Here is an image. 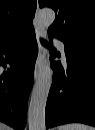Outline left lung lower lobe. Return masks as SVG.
<instances>
[{"label": "left lung lower lobe", "instance_id": "left-lung-lower-lobe-1", "mask_svg": "<svg viewBox=\"0 0 95 130\" xmlns=\"http://www.w3.org/2000/svg\"><path fill=\"white\" fill-rule=\"evenodd\" d=\"M64 47L67 67L63 68L60 62L53 63V83L45 111L46 127L70 122L94 126L95 51L67 42ZM50 52L52 59L55 49Z\"/></svg>", "mask_w": 95, "mask_h": 130}]
</instances>
